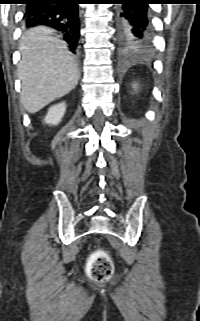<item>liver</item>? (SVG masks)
Returning <instances> with one entry per match:
<instances>
[{"label":"liver","mask_w":200,"mask_h":321,"mask_svg":"<svg viewBox=\"0 0 200 321\" xmlns=\"http://www.w3.org/2000/svg\"><path fill=\"white\" fill-rule=\"evenodd\" d=\"M18 77L22 83L21 103L36 113L74 89L80 78L67 44L45 27L25 33L20 42Z\"/></svg>","instance_id":"6515ba94"}]
</instances>
